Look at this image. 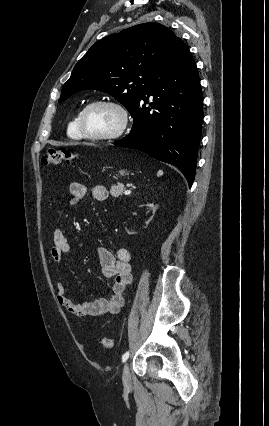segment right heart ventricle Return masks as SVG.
<instances>
[{
	"label": "right heart ventricle",
	"mask_w": 269,
	"mask_h": 426,
	"mask_svg": "<svg viewBox=\"0 0 269 426\" xmlns=\"http://www.w3.org/2000/svg\"><path fill=\"white\" fill-rule=\"evenodd\" d=\"M79 113H77L74 118L69 122L67 133L73 139H81L83 138L79 125H78Z\"/></svg>",
	"instance_id": "1"
}]
</instances>
